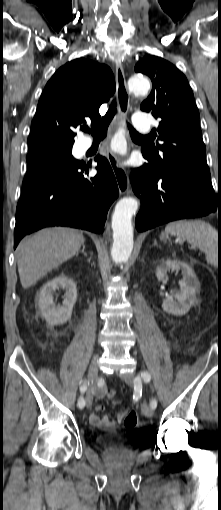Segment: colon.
Wrapping results in <instances>:
<instances>
[{"label": "colon", "instance_id": "5ec220e1", "mask_svg": "<svg viewBox=\"0 0 221 510\" xmlns=\"http://www.w3.org/2000/svg\"><path fill=\"white\" fill-rule=\"evenodd\" d=\"M116 395V391L115 390H110L109 393H108V397L110 399H113ZM115 404H119V401H115L114 402ZM138 422V416H137V413L135 411H129L124 419V425L126 427H134Z\"/></svg>", "mask_w": 221, "mask_h": 510}]
</instances>
